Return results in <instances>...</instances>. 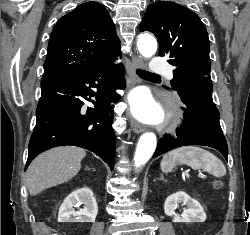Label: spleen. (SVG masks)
Here are the masks:
<instances>
[{
    "mask_svg": "<svg viewBox=\"0 0 250 235\" xmlns=\"http://www.w3.org/2000/svg\"><path fill=\"white\" fill-rule=\"evenodd\" d=\"M177 163L188 165L193 169H203L215 177L226 174L222 161L200 147L186 146L168 152L161 161V170L164 173L171 172Z\"/></svg>",
    "mask_w": 250,
    "mask_h": 235,
    "instance_id": "1",
    "label": "spleen"
}]
</instances>
